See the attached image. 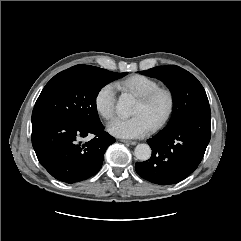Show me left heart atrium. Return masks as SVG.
Returning <instances> with one entry per match:
<instances>
[{
    "mask_svg": "<svg viewBox=\"0 0 241 241\" xmlns=\"http://www.w3.org/2000/svg\"><path fill=\"white\" fill-rule=\"evenodd\" d=\"M151 129V123L143 114H136L128 119L116 118L108 126V131L120 138H139Z\"/></svg>",
    "mask_w": 241,
    "mask_h": 241,
    "instance_id": "obj_1",
    "label": "left heart atrium"
}]
</instances>
